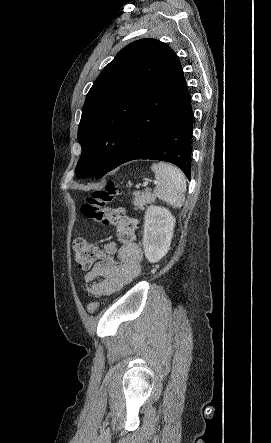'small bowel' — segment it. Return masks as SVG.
Masks as SVG:
<instances>
[{
    "mask_svg": "<svg viewBox=\"0 0 271 443\" xmlns=\"http://www.w3.org/2000/svg\"><path fill=\"white\" fill-rule=\"evenodd\" d=\"M141 262L142 251L137 244L109 242L102 258L83 276V285L92 296L108 297L139 275Z\"/></svg>",
    "mask_w": 271,
    "mask_h": 443,
    "instance_id": "c3829d8e",
    "label": "small bowel"
}]
</instances>
